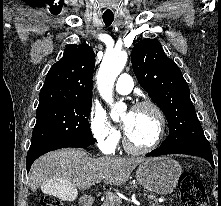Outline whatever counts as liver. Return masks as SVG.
<instances>
[{"instance_id":"1","label":"liver","mask_w":221,"mask_h":206,"mask_svg":"<svg viewBox=\"0 0 221 206\" xmlns=\"http://www.w3.org/2000/svg\"><path fill=\"white\" fill-rule=\"evenodd\" d=\"M145 159L101 157L92 158L82 149L53 151L37 159L29 174L32 191L39 187L51 194V183L65 184L68 199L77 196V189H89L95 182L104 180L111 185H122L130 177L135 167Z\"/></svg>"}]
</instances>
